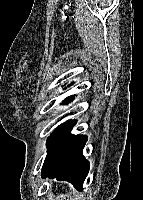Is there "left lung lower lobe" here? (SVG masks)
<instances>
[{
  "mask_svg": "<svg viewBox=\"0 0 143 200\" xmlns=\"http://www.w3.org/2000/svg\"><path fill=\"white\" fill-rule=\"evenodd\" d=\"M68 97L65 102L73 100ZM75 121H68L60 125L48 138V153L45 158L42 177H56L57 180L71 182L82 190L83 182L89 171V163L83 156V148L87 137L70 134Z\"/></svg>",
  "mask_w": 143,
  "mask_h": 200,
  "instance_id": "obj_1",
  "label": "left lung lower lobe"
}]
</instances>
